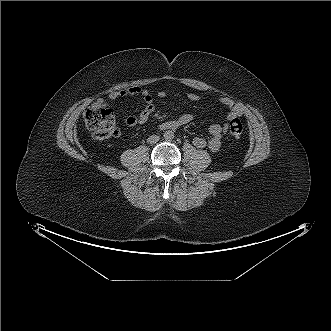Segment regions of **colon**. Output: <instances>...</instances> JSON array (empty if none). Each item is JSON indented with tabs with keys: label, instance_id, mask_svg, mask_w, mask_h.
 I'll return each mask as SVG.
<instances>
[{
	"label": "colon",
	"instance_id": "colon-1",
	"mask_svg": "<svg viewBox=\"0 0 331 331\" xmlns=\"http://www.w3.org/2000/svg\"><path fill=\"white\" fill-rule=\"evenodd\" d=\"M83 119L93 139L97 141H105L119 134L116 116L110 109L90 106L83 113ZM228 128L235 138H239L244 132V125L238 118L230 121Z\"/></svg>",
	"mask_w": 331,
	"mask_h": 331
}]
</instances>
